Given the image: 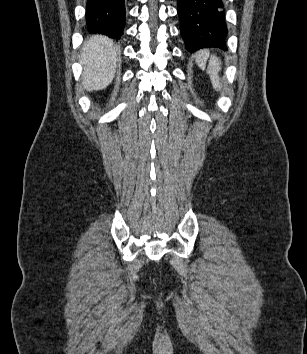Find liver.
Wrapping results in <instances>:
<instances>
[{"label": "liver", "instance_id": "1", "mask_svg": "<svg viewBox=\"0 0 307 354\" xmlns=\"http://www.w3.org/2000/svg\"><path fill=\"white\" fill-rule=\"evenodd\" d=\"M119 48L102 35H95L84 43L80 63L84 66L82 84L87 91L105 89L113 80Z\"/></svg>", "mask_w": 307, "mask_h": 354}]
</instances>
